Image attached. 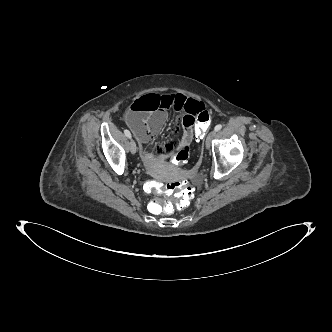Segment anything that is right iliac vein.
Listing matches in <instances>:
<instances>
[{
  "label": "right iliac vein",
  "instance_id": "right-iliac-vein-1",
  "mask_svg": "<svg viewBox=\"0 0 332 332\" xmlns=\"http://www.w3.org/2000/svg\"><path fill=\"white\" fill-rule=\"evenodd\" d=\"M129 148L132 154H135L137 152V146L134 140H130L129 142Z\"/></svg>",
  "mask_w": 332,
  "mask_h": 332
}]
</instances>
